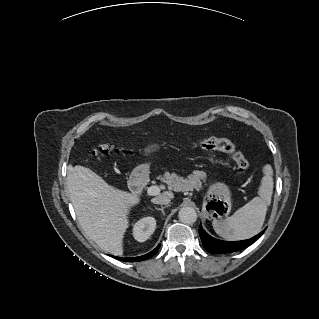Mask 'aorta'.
<instances>
[{
  "label": "aorta",
  "instance_id": "762f6f07",
  "mask_svg": "<svg viewBox=\"0 0 319 319\" xmlns=\"http://www.w3.org/2000/svg\"><path fill=\"white\" fill-rule=\"evenodd\" d=\"M178 217L184 224H193L197 220V213L194 208L185 206L179 210Z\"/></svg>",
  "mask_w": 319,
  "mask_h": 319
}]
</instances>
